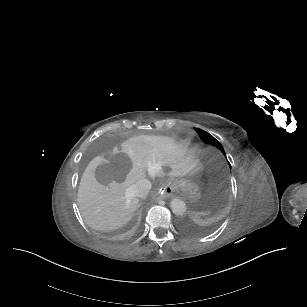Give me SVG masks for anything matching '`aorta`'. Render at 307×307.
Listing matches in <instances>:
<instances>
[{
  "label": "aorta",
  "mask_w": 307,
  "mask_h": 307,
  "mask_svg": "<svg viewBox=\"0 0 307 307\" xmlns=\"http://www.w3.org/2000/svg\"><path fill=\"white\" fill-rule=\"evenodd\" d=\"M172 212L176 215H182L186 212V204L184 201L174 198L171 203Z\"/></svg>",
  "instance_id": "obj_1"
}]
</instances>
